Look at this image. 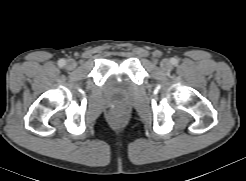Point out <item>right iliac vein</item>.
<instances>
[{
    "instance_id": "1",
    "label": "right iliac vein",
    "mask_w": 246,
    "mask_h": 181,
    "mask_svg": "<svg viewBox=\"0 0 246 181\" xmlns=\"http://www.w3.org/2000/svg\"><path fill=\"white\" fill-rule=\"evenodd\" d=\"M77 63L74 59H69L66 63V68L69 70H73L74 68H76Z\"/></svg>"
}]
</instances>
